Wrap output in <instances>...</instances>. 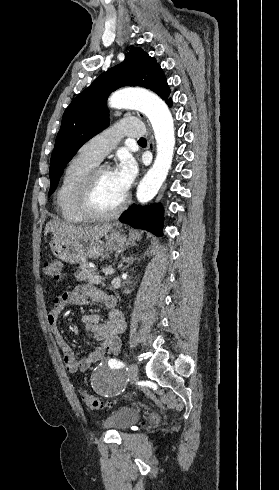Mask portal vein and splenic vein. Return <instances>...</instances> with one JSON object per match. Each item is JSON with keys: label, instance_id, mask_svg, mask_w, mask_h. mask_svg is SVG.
Listing matches in <instances>:
<instances>
[{"label": "portal vein and splenic vein", "instance_id": "obj_1", "mask_svg": "<svg viewBox=\"0 0 279 490\" xmlns=\"http://www.w3.org/2000/svg\"><path fill=\"white\" fill-rule=\"evenodd\" d=\"M102 272H105V274H114V270H112V268H105V270H102Z\"/></svg>", "mask_w": 279, "mask_h": 490}]
</instances>
